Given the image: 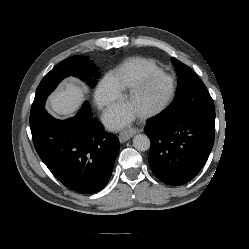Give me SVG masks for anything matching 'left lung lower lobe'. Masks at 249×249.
I'll return each mask as SVG.
<instances>
[{
    "instance_id": "1",
    "label": "left lung lower lobe",
    "mask_w": 249,
    "mask_h": 249,
    "mask_svg": "<svg viewBox=\"0 0 249 249\" xmlns=\"http://www.w3.org/2000/svg\"><path fill=\"white\" fill-rule=\"evenodd\" d=\"M149 165L165 184L183 185L204 166L215 136V111L197 112L175 120L161 115L147 122Z\"/></svg>"
}]
</instances>
